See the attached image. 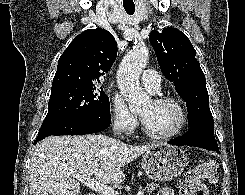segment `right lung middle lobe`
Wrapping results in <instances>:
<instances>
[{
  "label": "right lung middle lobe",
  "mask_w": 245,
  "mask_h": 195,
  "mask_svg": "<svg viewBox=\"0 0 245 195\" xmlns=\"http://www.w3.org/2000/svg\"><path fill=\"white\" fill-rule=\"evenodd\" d=\"M102 111L110 112L109 98L102 87H73L51 92L48 113L38 134Z\"/></svg>",
  "instance_id": "1"
}]
</instances>
